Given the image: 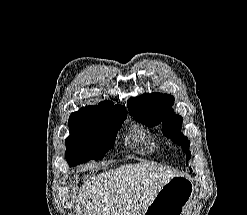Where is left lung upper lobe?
<instances>
[{"label":"left lung upper lobe","mask_w":247,"mask_h":215,"mask_svg":"<svg viewBox=\"0 0 247 215\" xmlns=\"http://www.w3.org/2000/svg\"><path fill=\"white\" fill-rule=\"evenodd\" d=\"M174 97L162 93H145L127 101L129 113L148 127L162 123V132L171 137L173 142L182 146L187 159L190 158L189 140L181 134L183 118L172 109ZM191 170V169H190Z\"/></svg>","instance_id":"obj_1"}]
</instances>
